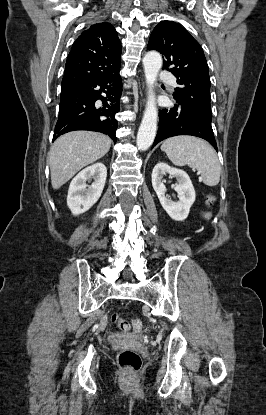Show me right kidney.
Instances as JSON below:
<instances>
[{"label": "right kidney", "instance_id": "right-kidney-1", "mask_svg": "<svg viewBox=\"0 0 266 415\" xmlns=\"http://www.w3.org/2000/svg\"><path fill=\"white\" fill-rule=\"evenodd\" d=\"M107 169L103 163H95L78 173L71 181L67 205L73 215L89 210L100 198L105 186ZM94 180L91 185L87 181Z\"/></svg>", "mask_w": 266, "mask_h": 415}]
</instances>
